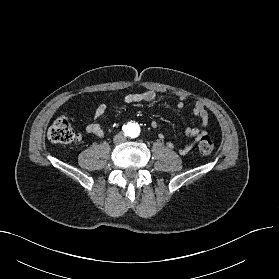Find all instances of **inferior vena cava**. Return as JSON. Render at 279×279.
<instances>
[{
    "instance_id": "1",
    "label": "inferior vena cava",
    "mask_w": 279,
    "mask_h": 279,
    "mask_svg": "<svg viewBox=\"0 0 279 279\" xmlns=\"http://www.w3.org/2000/svg\"><path fill=\"white\" fill-rule=\"evenodd\" d=\"M124 141V136L122 134H117L115 137H114V142L115 143H119V142H122Z\"/></svg>"
}]
</instances>
